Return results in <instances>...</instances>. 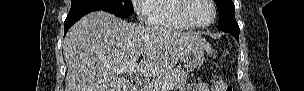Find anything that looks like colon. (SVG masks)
Returning <instances> with one entry per match:
<instances>
[{"label":"colon","instance_id":"obj_1","mask_svg":"<svg viewBox=\"0 0 304 91\" xmlns=\"http://www.w3.org/2000/svg\"><path fill=\"white\" fill-rule=\"evenodd\" d=\"M213 91H232L233 88L221 77H215L213 80Z\"/></svg>","mask_w":304,"mask_h":91}]
</instances>
